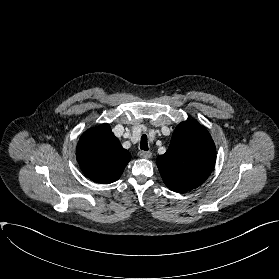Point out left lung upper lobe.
<instances>
[{"mask_svg":"<svg viewBox=\"0 0 279 279\" xmlns=\"http://www.w3.org/2000/svg\"><path fill=\"white\" fill-rule=\"evenodd\" d=\"M215 160V145L206 128L187 120L176 127L168 150L157 158V166L167 187L181 193L200 186Z\"/></svg>","mask_w":279,"mask_h":279,"instance_id":"obj_1","label":"left lung upper lobe"}]
</instances>
